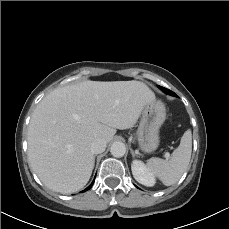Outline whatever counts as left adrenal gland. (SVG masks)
Masks as SVG:
<instances>
[{"label":"left adrenal gland","instance_id":"obj_1","mask_svg":"<svg viewBox=\"0 0 229 229\" xmlns=\"http://www.w3.org/2000/svg\"><path fill=\"white\" fill-rule=\"evenodd\" d=\"M130 151H131L132 157H135L136 154L134 153V151L132 149H130Z\"/></svg>","mask_w":229,"mask_h":229}]
</instances>
